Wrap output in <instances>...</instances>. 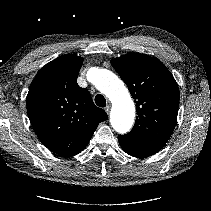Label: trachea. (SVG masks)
<instances>
[{"mask_svg": "<svg viewBox=\"0 0 211 211\" xmlns=\"http://www.w3.org/2000/svg\"><path fill=\"white\" fill-rule=\"evenodd\" d=\"M95 103L99 107H105L106 106V99L104 98L103 95L97 94L95 96Z\"/></svg>", "mask_w": 211, "mask_h": 211, "instance_id": "obj_1", "label": "trachea"}]
</instances>
